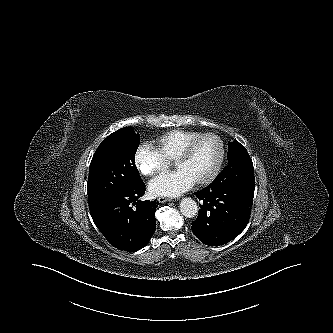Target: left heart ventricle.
<instances>
[{"mask_svg":"<svg viewBox=\"0 0 333 333\" xmlns=\"http://www.w3.org/2000/svg\"><path fill=\"white\" fill-rule=\"evenodd\" d=\"M220 153L216 139H202L194 148L191 155L176 167L185 171L195 182L206 178L214 169Z\"/></svg>","mask_w":333,"mask_h":333,"instance_id":"1","label":"left heart ventricle"}]
</instances>
